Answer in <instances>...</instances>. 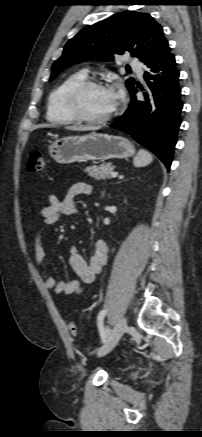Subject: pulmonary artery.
<instances>
[{
	"label": "pulmonary artery",
	"mask_w": 202,
	"mask_h": 437,
	"mask_svg": "<svg viewBox=\"0 0 202 437\" xmlns=\"http://www.w3.org/2000/svg\"><path fill=\"white\" fill-rule=\"evenodd\" d=\"M130 66L137 72V74L141 77L142 76V69L141 64L137 60H131Z\"/></svg>",
	"instance_id": "1"
}]
</instances>
